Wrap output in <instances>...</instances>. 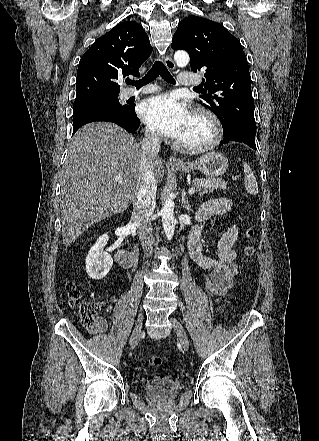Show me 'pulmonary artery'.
<instances>
[{
	"instance_id": "e3ab8cb5",
	"label": "pulmonary artery",
	"mask_w": 319,
	"mask_h": 441,
	"mask_svg": "<svg viewBox=\"0 0 319 441\" xmlns=\"http://www.w3.org/2000/svg\"><path fill=\"white\" fill-rule=\"evenodd\" d=\"M200 83V77L197 74L189 73V72H182L178 76V84L183 87H189V86H195ZM157 88L155 86H147L142 88L139 91H129L126 93V97L139 95V94H145V93H151L156 91Z\"/></svg>"
}]
</instances>
